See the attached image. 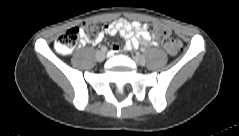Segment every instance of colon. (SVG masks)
I'll use <instances>...</instances> for the list:
<instances>
[{"mask_svg": "<svg viewBox=\"0 0 239 136\" xmlns=\"http://www.w3.org/2000/svg\"><path fill=\"white\" fill-rule=\"evenodd\" d=\"M105 28L101 22H86L82 27L71 28L58 36L55 49L61 54H68L77 46L82 35L93 40L104 32ZM154 31L168 54L175 56L180 52L181 43L169 36V30L164 25L155 24Z\"/></svg>", "mask_w": 239, "mask_h": 136, "instance_id": "colon-1", "label": "colon"}]
</instances>
